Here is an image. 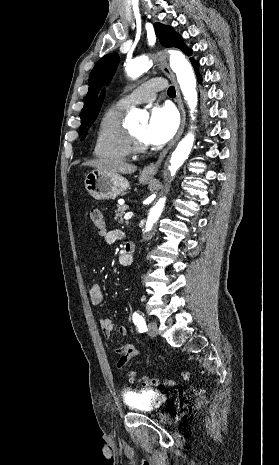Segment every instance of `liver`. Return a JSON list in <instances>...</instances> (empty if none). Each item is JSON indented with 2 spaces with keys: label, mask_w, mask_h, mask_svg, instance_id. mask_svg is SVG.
Here are the masks:
<instances>
[{
  "label": "liver",
  "mask_w": 279,
  "mask_h": 465,
  "mask_svg": "<svg viewBox=\"0 0 279 465\" xmlns=\"http://www.w3.org/2000/svg\"><path fill=\"white\" fill-rule=\"evenodd\" d=\"M83 166L95 167L98 171L110 173L130 174L137 170V166L120 160H91L82 164Z\"/></svg>",
  "instance_id": "liver-1"
}]
</instances>
